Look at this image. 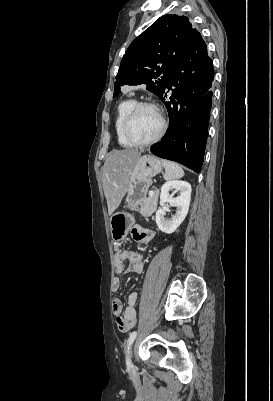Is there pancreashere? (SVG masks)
<instances>
[{
  "instance_id": "cf45deb5",
  "label": "pancreas",
  "mask_w": 273,
  "mask_h": 401,
  "mask_svg": "<svg viewBox=\"0 0 273 401\" xmlns=\"http://www.w3.org/2000/svg\"><path fill=\"white\" fill-rule=\"evenodd\" d=\"M158 190H155L152 197L145 198L144 203H142L139 213L142 217H151L152 213H155L157 209L158 201Z\"/></svg>"
}]
</instances>
